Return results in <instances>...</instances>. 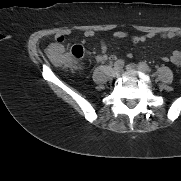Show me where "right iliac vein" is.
<instances>
[{"instance_id": "1", "label": "right iliac vein", "mask_w": 181, "mask_h": 181, "mask_svg": "<svg viewBox=\"0 0 181 181\" xmlns=\"http://www.w3.org/2000/svg\"><path fill=\"white\" fill-rule=\"evenodd\" d=\"M122 72V67H114L113 74L114 76H119Z\"/></svg>"}]
</instances>
